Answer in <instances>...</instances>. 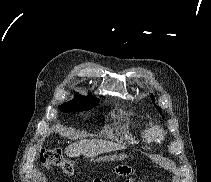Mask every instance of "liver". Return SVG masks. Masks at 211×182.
Returning a JSON list of instances; mask_svg holds the SVG:
<instances>
[{"label": "liver", "instance_id": "liver-1", "mask_svg": "<svg viewBox=\"0 0 211 182\" xmlns=\"http://www.w3.org/2000/svg\"><path fill=\"white\" fill-rule=\"evenodd\" d=\"M124 148L123 145L101 139L80 140L79 142L70 144L65 149V153L69 157L83 155L84 157L93 158L99 154L122 150Z\"/></svg>", "mask_w": 211, "mask_h": 182}]
</instances>
